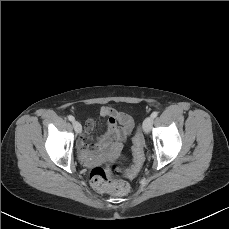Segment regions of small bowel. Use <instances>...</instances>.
Returning a JSON list of instances; mask_svg holds the SVG:
<instances>
[{
  "instance_id": "c3829d8e",
  "label": "small bowel",
  "mask_w": 229,
  "mask_h": 229,
  "mask_svg": "<svg viewBox=\"0 0 229 229\" xmlns=\"http://www.w3.org/2000/svg\"><path fill=\"white\" fill-rule=\"evenodd\" d=\"M100 115L107 118L106 131L99 145V153H92L91 147L93 138L90 136L94 128V122L88 120L84 126V137L77 142V150L80 160L86 165H96L103 163L107 158L118 156L131 132L134 128V121L131 116L118 112L111 107L103 106ZM122 124L118 127L117 123Z\"/></svg>"
}]
</instances>
